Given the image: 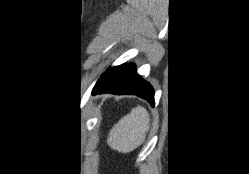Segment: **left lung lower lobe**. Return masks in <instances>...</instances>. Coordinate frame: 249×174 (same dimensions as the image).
Segmentation results:
<instances>
[{"label": "left lung lower lobe", "instance_id": "1", "mask_svg": "<svg viewBox=\"0 0 249 174\" xmlns=\"http://www.w3.org/2000/svg\"><path fill=\"white\" fill-rule=\"evenodd\" d=\"M102 93L137 95L154 105L153 87L136 73L133 64L108 69L92 90L93 95Z\"/></svg>", "mask_w": 249, "mask_h": 174}]
</instances>
